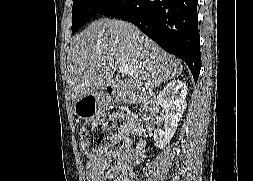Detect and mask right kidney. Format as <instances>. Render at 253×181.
Instances as JSON below:
<instances>
[{
	"label": "right kidney",
	"mask_w": 253,
	"mask_h": 181,
	"mask_svg": "<svg viewBox=\"0 0 253 181\" xmlns=\"http://www.w3.org/2000/svg\"><path fill=\"white\" fill-rule=\"evenodd\" d=\"M187 86L180 80L168 83L158 94L157 104L164 110V130L154 131V142L157 148L163 149L174 136L178 122L185 109Z\"/></svg>",
	"instance_id": "right-kidney-1"
}]
</instances>
